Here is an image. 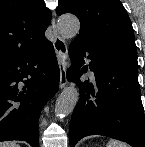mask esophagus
<instances>
[{
  "instance_id": "1",
  "label": "esophagus",
  "mask_w": 145,
  "mask_h": 147,
  "mask_svg": "<svg viewBox=\"0 0 145 147\" xmlns=\"http://www.w3.org/2000/svg\"><path fill=\"white\" fill-rule=\"evenodd\" d=\"M51 30L53 35V46L56 52L60 69V88L62 89L67 84V64L65 59L67 57L68 48L65 41L57 32L55 18L52 19Z\"/></svg>"
}]
</instances>
